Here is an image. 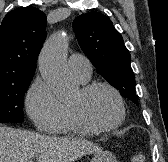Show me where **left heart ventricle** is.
<instances>
[{
  "instance_id": "obj_1",
  "label": "left heart ventricle",
  "mask_w": 168,
  "mask_h": 162,
  "mask_svg": "<svg viewBox=\"0 0 168 162\" xmlns=\"http://www.w3.org/2000/svg\"><path fill=\"white\" fill-rule=\"evenodd\" d=\"M71 104L78 105L83 114L96 125L111 124L119 114L115 97L103 88L97 89L87 96H82L79 90Z\"/></svg>"
}]
</instances>
